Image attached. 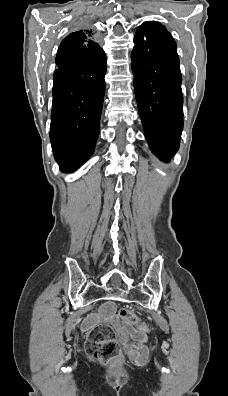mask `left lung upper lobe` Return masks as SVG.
I'll return each instance as SVG.
<instances>
[{
  "label": "left lung upper lobe",
  "mask_w": 228,
  "mask_h": 396,
  "mask_svg": "<svg viewBox=\"0 0 228 396\" xmlns=\"http://www.w3.org/2000/svg\"><path fill=\"white\" fill-rule=\"evenodd\" d=\"M157 27H162L165 28L162 24L156 22V21H150V22H144L143 24L140 25V27L137 29L136 35H145L151 33L155 28Z\"/></svg>",
  "instance_id": "5c2ea615"
}]
</instances>
